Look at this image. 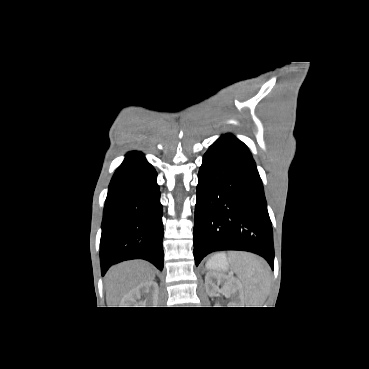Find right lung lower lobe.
<instances>
[{
	"label": "right lung lower lobe",
	"instance_id": "98d812e1",
	"mask_svg": "<svg viewBox=\"0 0 369 369\" xmlns=\"http://www.w3.org/2000/svg\"><path fill=\"white\" fill-rule=\"evenodd\" d=\"M157 173L140 152H129L116 170L105 202L102 275L124 260L141 258L163 269V224Z\"/></svg>",
	"mask_w": 369,
	"mask_h": 369
}]
</instances>
